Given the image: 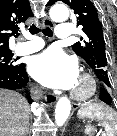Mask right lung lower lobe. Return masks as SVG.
Masks as SVG:
<instances>
[{"mask_svg": "<svg viewBox=\"0 0 117 136\" xmlns=\"http://www.w3.org/2000/svg\"><path fill=\"white\" fill-rule=\"evenodd\" d=\"M29 81L25 71V64L21 63L15 68H0V88L6 89H22L25 88ZM28 102L31 103L29 94H27Z\"/></svg>", "mask_w": 117, "mask_h": 136, "instance_id": "right-lung-lower-lobe-1", "label": "right lung lower lobe"}]
</instances>
